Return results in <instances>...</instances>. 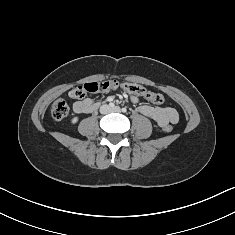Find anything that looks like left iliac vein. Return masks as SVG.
I'll return each instance as SVG.
<instances>
[{"mask_svg": "<svg viewBox=\"0 0 235 235\" xmlns=\"http://www.w3.org/2000/svg\"><path fill=\"white\" fill-rule=\"evenodd\" d=\"M120 107L119 106H116L114 108L111 109L112 112H120Z\"/></svg>", "mask_w": 235, "mask_h": 235, "instance_id": "1", "label": "left iliac vein"}]
</instances>
